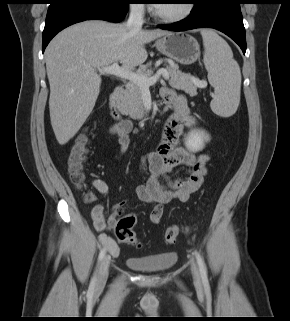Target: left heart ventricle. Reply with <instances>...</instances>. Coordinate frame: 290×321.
Segmentation results:
<instances>
[{
  "label": "left heart ventricle",
  "mask_w": 290,
  "mask_h": 321,
  "mask_svg": "<svg viewBox=\"0 0 290 321\" xmlns=\"http://www.w3.org/2000/svg\"><path fill=\"white\" fill-rule=\"evenodd\" d=\"M184 7V1L163 0L156 5L157 10L165 15H174L179 13Z\"/></svg>",
  "instance_id": "1"
}]
</instances>
